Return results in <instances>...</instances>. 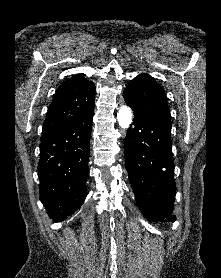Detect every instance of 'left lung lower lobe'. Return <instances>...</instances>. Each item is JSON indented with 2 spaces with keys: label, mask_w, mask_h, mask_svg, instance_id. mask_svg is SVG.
Wrapping results in <instances>:
<instances>
[{
  "label": "left lung lower lobe",
  "mask_w": 221,
  "mask_h": 278,
  "mask_svg": "<svg viewBox=\"0 0 221 278\" xmlns=\"http://www.w3.org/2000/svg\"><path fill=\"white\" fill-rule=\"evenodd\" d=\"M124 156L136 202L144 216L150 222H174L176 185L170 114L134 112L133 123L124 139Z\"/></svg>",
  "instance_id": "1"
}]
</instances>
